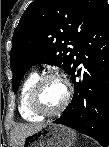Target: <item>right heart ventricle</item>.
I'll return each instance as SVG.
<instances>
[{
  "mask_svg": "<svg viewBox=\"0 0 109 147\" xmlns=\"http://www.w3.org/2000/svg\"><path fill=\"white\" fill-rule=\"evenodd\" d=\"M39 78V75L37 72L31 73L24 81L21 91H20V98H19V112L21 116L29 121V122H37L39 121L42 117H39L35 114H33L27 106V99L28 95L30 93V90L36 80Z\"/></svg>",
  "mask_w": 109,
  "mask_h": 147,
  "instance_id": "1",
  "label": "right heart ventricle"
}]
</instances>
